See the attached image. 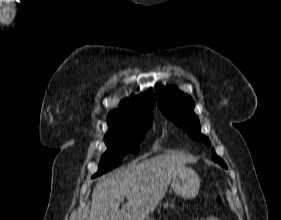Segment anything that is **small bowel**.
Wrapping results in <instances>:
<instances>
[{"label":"small bowel","mask_w":281,"mask_h":220,"mask_svg":"<svg viewBox=\"0 0 281 220\" xmlns=\"http://www.w3.org/2000/svg\"><path fill=\"white\" fill-rule=\"evenodd\" d=\"M196 220H219L217 217L215 216H208L206 218H203V219H196Z\"/></svg>","instance_id":"obj_1"}]
</instances>
